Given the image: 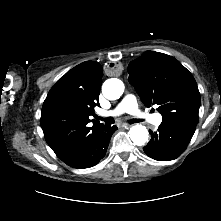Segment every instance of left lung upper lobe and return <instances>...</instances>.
Listing matches in <instances>:
<instances>
[{
    "label": "left lung upper lobe",
    "instance_id": "5c2ea615",
    "mask_svg": "<svg viewBox=\"0 0 221 221\" xmlns=\"http://www.w3.org/2000/svg\"><path fill=\"white\" fill-rule=\"evenodd\" d=\"M128 72V80L144 105H158L163 122L198 123L200 93L196 81L175 58L146 51L129 64Z\"/></svg>",
    "mask_w": 221,
    "mask_h": 221
}]
</instances>
